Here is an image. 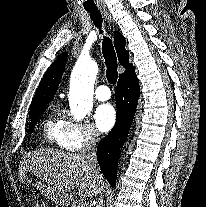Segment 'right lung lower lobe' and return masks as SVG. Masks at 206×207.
I'll return each instance as SVG.
<instances>
[{
  "instance_id": "obj_1",
  "label": "right lung lower lobe",
  "mask_w": 206,
  "mask_h": 207,
  "mask_svg": "<svg viewBox=\"0 0 206 207\" xmlns=\"http://www.w3.org/2000/svg\"><path fill=\"white\" fill-rule=\"evenodd\" d=\"M139 81L134 67L120 75L115 90L117 117L114 128L97 147V160L103 175L114 186L120 150L128 135L139 98Z\"/></svg>"
}]
</instances>
